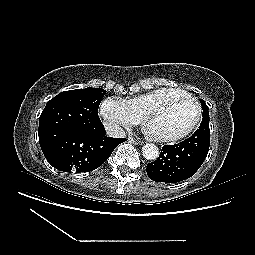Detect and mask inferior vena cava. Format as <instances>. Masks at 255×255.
<instances>
[{
	"mask_svg": "<svg viewBox=\"0 0 255 255\" xmlns=\"http://www.w3.org/2000/svg\"><path fill=\"white\" fill-rule=\"evenodd\" d=\"M107 135L112 138H124L126 136L125 131L117 124H108L106 126Z\"/></svg>",
	"mask_w": 255,
	"mask_h": 255,
	"instance_id": "1",
	"label": "inferior vena cava"
}]
</instances>
